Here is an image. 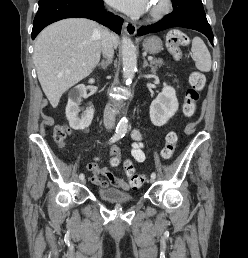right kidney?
Instances as JSON below:
<instances>
[{
    "label": "right kidney",
    "instance_id": "right-kidney-1",
    "mask_svg": "<svg viewBox=\"0 0 248 258\" xmlns=\"http://www.w3.org/2000/svg\"><path fill=\"white\" fill-rule=\"evenodd\" d=\"M89 83H94V79H90ZM86 95V87L83 84H80L75 87L69 93L68 103L66 106V118L69 121V125L74 130H83L88 127L93 119L94 109L88 108L85 113L78 117L79 113V104L81 98Z\"/></svg>",
    "mask_w": 248,
    "mask_h": 258
}]
</instances>
